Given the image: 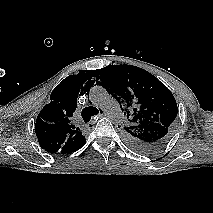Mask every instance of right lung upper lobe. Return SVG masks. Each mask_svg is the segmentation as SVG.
<instances>
[{"instance_id": "cb5924a9", "label": "right lung upper lobe", "mask_w": 213, "mask_h": 213, "mask_svg": "<svg viewBox=\"0 0 213 213\" xmlns=\"http://www.w3.org/2000/svg\"><path fill=\"white\" fill-rule=\"evenodd\" d=\"M94 76L95 70H82L66 77L52 91L51 102L40 111L35 124L38 142L47 152L70 154L85 141L72 117L78 96L90 91Z\"/></svg>"}]
</instances>
